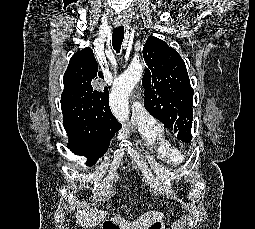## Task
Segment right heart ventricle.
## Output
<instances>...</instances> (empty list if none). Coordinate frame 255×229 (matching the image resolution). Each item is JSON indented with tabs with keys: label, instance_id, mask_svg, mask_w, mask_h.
<instances>
[{
	"label": "right heart ventricle",
	"instance_id": "right-heart-ventricle-1",
	"mask_svg": "<svg viewBox=\"0 0 255 229\" xmlns=\"http://www.w3.org/2000/svg\"><path fill=\"white\" fill-rule=\"evenodd\" d=\"M136 126L144 147L158 160L172 166L179 165L183 162V156L166 139L160 123L155 121L154 127H148L137 123Z\"/></svg>",
	"mask_w": 255,
	"mask_h": 229
}]
</instances>
